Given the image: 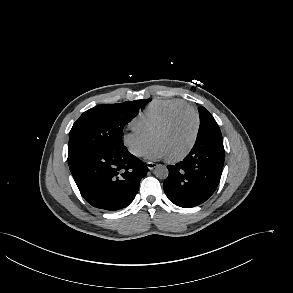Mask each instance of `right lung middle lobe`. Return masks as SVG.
I'll list each match as a JSON object with an SVG mask.
<instances>
[{
  "label": "right lung middle lobe",
  "instance_id": "obj_1",
  "mask_svg": "<svg viewBox=\"0 0 293 293\" xmlns=\"http://www.w3.org/2000/svg\"><path fill=\"white\" fill-rule=\"evenodd\" d=\"M151 99L98 105L84 112L69 133L68 164L112 146L123 145L122 135L140 108Z\"/></svg>",
  "mask_w": 293,
  "mask_h": 293
}]
</instances>
